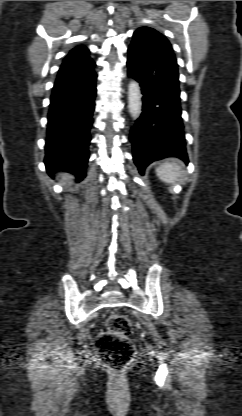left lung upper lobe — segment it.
<instances>
[{
  "label": "left lung upper lobe",
  "mask_w": 242,
  "mask_h": 416,
  "mask_svg": "<svg viewBox=\"0 0 242 416\" xmlns=\"http://www.w3.org/2000/svg\"><path fill=\"white\" fill-rule=\"evenodd\" d=\"M134 33H151L155 37L160 38L166 44V46H168L172 50V46L169 43V41L162 34H160L158 31H156V30H154L152 28H149V27H141V28L137 29Z\"/></svg>",
  "instance_id": "5c2ea615"
}]
</instances>
